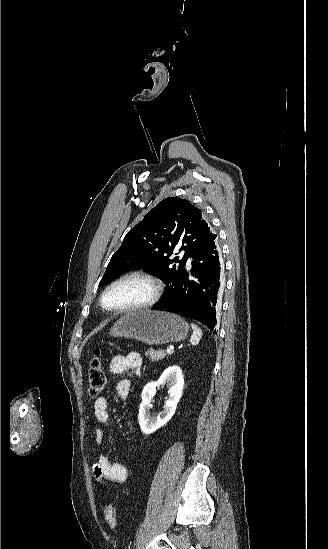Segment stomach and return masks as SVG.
Returning a JSON list of instances; mask_svg holds the SVG:
<instances>
[{
    "label": "stomach",
    "mask_w": 328,
    "mask_h": 549,
    "mask_svg": "<svg viewBox=\"0 0 328 549\" xmlns=\"http://www.w3.org/2000/svg\"><path fill=\"white\" fill-rule=\"evenodd\" d=\"M189 325L174 313L139 309L126 313L110 329L112 337L136 339L146 345H164L186 339Z\"/></svg>",
    "instance_id": "obj_1"
}]
</instances>
